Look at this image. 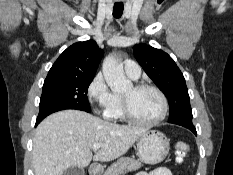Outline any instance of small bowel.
<instances>
[{
  "mask_svg": "<svg viewBox=\"0 0 233 175\" xmlns=\"http://www.w3.org/2000/svg\"><path fill=\"white\" fill-rule=\"evenodd\" d=\"M136 175H173L172 172L166 167H159L150 172L140 171Z\"/></svg>",
  "mask_w": 233,
  "mask_h": 175,
  "instance_id": "small-bowel-1",
  "label": "small bowel"
}]
</instances>
